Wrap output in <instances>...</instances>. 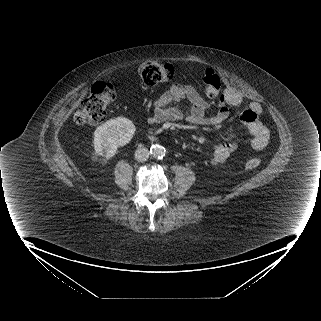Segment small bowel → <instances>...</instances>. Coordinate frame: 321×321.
<instances>
[{
  "mask_svg": "<svg viewBox=\"0 0 321 321\" xmlns=\"http://www.w3.org/2000/svg\"><path fill=\"white\" fill-rule=\"evenodd\" d=\"M182 101H187L191 106L190 113L187 116L190 123L217 126L228 120L231 113L230 108L240 105L243 102V96L236 90L226 91L218 102L216 113L213 116H207L209 105L198 91L189 85L176 84L155 99L153 113L148 118V122L155 124L182 120L184 114L180 109L167 107L170 102ZM261 113V104L252 101L239 115L241 123L246 126L251 135V148L255 151L264 149L270 138L268 128L260 119ZM235 148L236 144L233 141L216 145L209 160L210 164L212 166L220 165Z\"/></svg>",
  "mask_w": 321,
  "mask_h": 321,
  "instance_id": "obj_1",
  "label": "small bowel"
}]
</instances>
